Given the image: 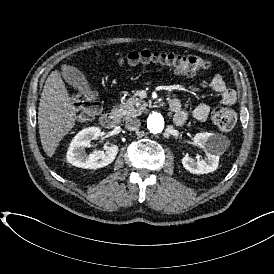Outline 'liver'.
Listing matches in <instances>:
<instances>
[{
	"label": "liver",
	"mask_w": 274,
	"mask_h": 274,
	"mask_svg": "<svg viewBox=\"0 0 274 274\" xmlns=\"http://www.w3.org/2000/svg\"><path fill=\"white\" fill-rule=\"evenodd\" d=\"M62 70V76L69 83L80 72L66 65ZM76 110L60 73L53 71L45 81L38 108L40 140L48 157L54 155L59 142L75 126Z\"/></svg>",
	"instance_id": "6515ba94"
}]
</instances>
